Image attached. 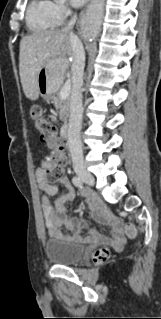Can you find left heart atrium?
I'll return each instance as SVG.
<instances>
[{
  "mask_svg": "<svg viewBox=\"0 0 161 319\" xmlns=\"http://www.w3.org/2000/svg\"><path fill=\"white\" fill-rule=\"evenodd\" d=\"M85 2L86 0H70V3L75 7L82 6Z\"/></svg>",
  "mask_w": 161,
  "mask_h": 319,
  "instance_id": "39dd6f15",
  "label": "left heart atrium"
}]
</instances>
